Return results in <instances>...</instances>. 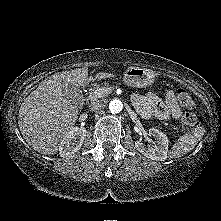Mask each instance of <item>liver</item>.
<instances>
[{
    "label": "liver",
    "instance_id": "1",
    "mask_svg": "<svg viewBox=\"0 0 221 221\" xmlns=\"http://www.w3.org/2000/svg\"><path fill=\"white\" fill-rule=\"evenodd\" d=\"M110 77L113 74L105 72L88 77L84 67L56 74L38 86L19 109L18 124L28 145L44 155L57 153L59 143L78 118V107L66 96L69 85L85 87L90 81Z\"/></svg>",
    "mask_w": 221,
    "mask_h": 221
}]
</instances>
